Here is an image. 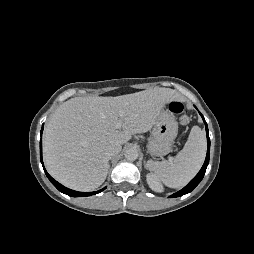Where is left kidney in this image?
<instances>
[{
  "instance_id": "obj_1",
  "label": "left kidney",
  "mask_w": 254,
  "mask_h": 254,
  "mask_svg": "<svg viewBox=\"0 0 254 254\" xmlns=\"http://www.w3.org/2000/svg\"><path fill=\"white\" fill-rule=\"evenodd\" d=\"M146 180H147L149 187L153 191H155V192H162L163 191V186L160 183L159 179L155 175L150 174V173L147 174Z\"/></svg>"
}]
</instances>
